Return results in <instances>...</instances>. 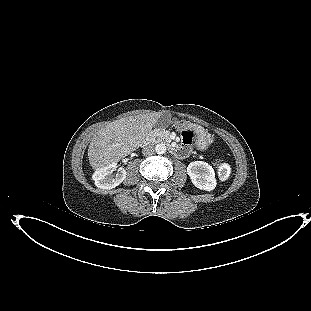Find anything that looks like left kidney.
Returning <instances> with one entry per match:
<instances>
[{"label":"left kidney","instance_id":"1","mask_svg":"<svg viewBox=\"0 0 311 311\" xmlns=\"http://www.w3.org/2000/svg\"><path fill=\"white\" fill-rule=\"evenodd\" d=\"M187 173L195 187L212 191L216 187L215 172L212 166L204 161L191 162L187 167Z\"/></svg>","mask_w":311,"mask_h":311}]
</instances>
